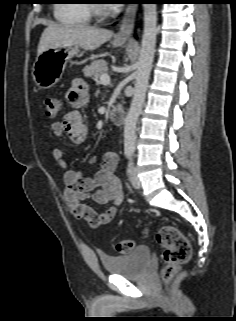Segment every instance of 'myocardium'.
I'll use <instances>...</instances> for the list:
<instances>
[{"label": "myocardium", "mask_w": 236, "mask_h": 321, "mask_svg": "<svg viewBox=\"0 0 236 321\" xmlns=\"http://www.w3.org/2000/svg\"><path fill=\"white\" fill-rule=\"evenodd\" d=\"M91 15L97 20H103L111 16L113 11L110 6L100 3L99 1H91L89 3Z\"/></svg>", "instance_id": "1"}]
</instances>
